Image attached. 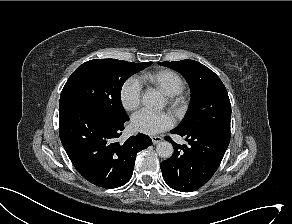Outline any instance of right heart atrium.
Here are the masks:
<instances>
[{
  "label": "right heart atrium",
  "mask_w": 292,
  "mask_h": 224,
  "mask_svg": "<svg viewBox=\"0 0 292 224\" xmlns=\"http://www.w3.org/2000/svg\"><path fill=\"white\" fill-rule=\"evenodd\" d=\"M142 99V86L135 77L128 78L120 88V100L124 109L132 111L136 109Z\"/></svg>",
  "instance_id": "d8ad5b80"
}]
</instances>
